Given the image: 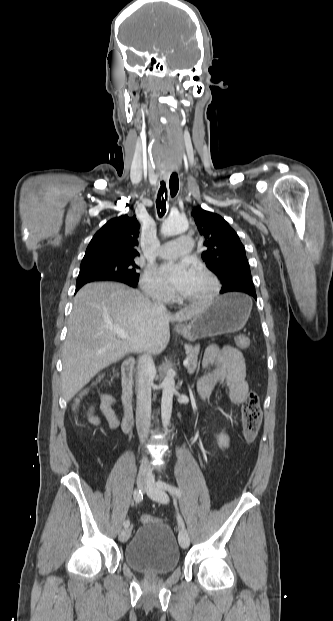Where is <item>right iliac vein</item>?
Segmentation results:
<instances>
[{"instance_id": "63e3f726", "label": "right iliac vein", "mask_w": 333, "mask_h": 621, "mask_svg": "<svg viewBox=\"0 0 333 621\" xmlns=\"http://www.w3.org/2000/svg\"><path fill=\"white\" fill-rule=\"evenodd\" d=\"M148 472L145 468H140L137 474L136 483L140 490H145L147 485ZM131 535V528L123 529L119 534V540L121 542H126Z\"/></svg>"}]
</instances>
